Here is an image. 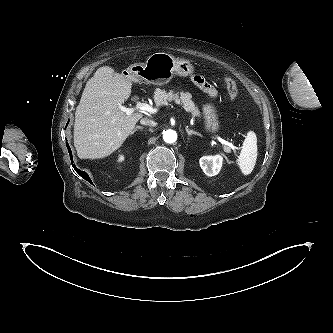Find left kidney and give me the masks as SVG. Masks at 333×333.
I'll use <instances>...</instances> for the list:
<instances>
[{"label":"left kidney","instance_id":"1","mask_svg":"<svg viewBox=\"0 0 333 333\" xmlns=\"http://www.w3.org/2000/svg\"><path fill=\"white\" fill-rule=\"evenodd\" d=\"M200 167L207 176H215L220 172L223 163L221 155L203 156L199 160Z\"/></svg>","mask_w":333,"mask_h":333}]
</instances>
